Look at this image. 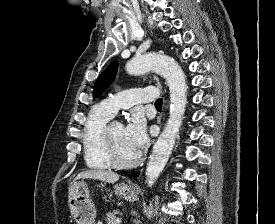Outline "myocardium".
Segmentation results:
<instances>
[{
    "instance_id": "f54148a6",
    "label": "myocardium",
    "mask_w": 275,
    "mask_h": 224,
    "mask_svg": "<svg viewBox=\"0 0 275 224\" xmlns=\"http://www.w3.org/2000/svg\"><path fill=\"white\" fill-rule=\"evenodd\" d=\"M112 124L113 123L106 124L101 134V144L108 162L116 168H132L136 166L141 161L140 153H138L133 159L127 161L122 160L117 156L110 133Z\"/></svg>"
}]
</instances>
